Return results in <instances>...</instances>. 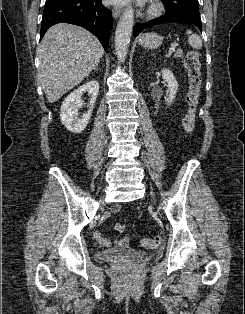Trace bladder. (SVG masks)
I'll return each mask as SVG.
<instances>
[{"instance_id":"obj_1","label":"bladder","mask_w":245,"mask_h":314,"mask_svg":"<svg viewBox=\"0 0 245 314\" xmlns=\"http://www.w3.org/2000/svg\"><path fill=\"white\" fill-rule=\"evenodd\" d=\"M114 257H123L131 260H141L144 258V254L133 250L122 251H99L97 253V259L100 262H105Z\"/></svg>"}]
</instances>
